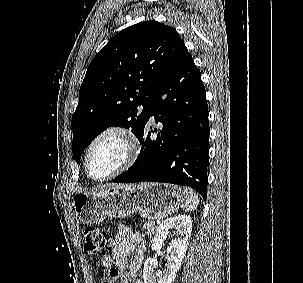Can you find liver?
Segmentation results:
<instances>
[{"label":"liver","instance_id":"6515ba94","mask_svg":"<svg viewBox=\"0 0 303 283\" xmlns=\"http://www.w3.org/2000/svg\"><path fill=\"white\" fill-rule=\"evenodd\" d=\"M113 186H118V185L112 184V185H108V186H102L101 188L96 189V191H102V190H104L105 188H109V187H113Z\"/></svg>","mask_w":303,"mask_h":283}]
</instances>
